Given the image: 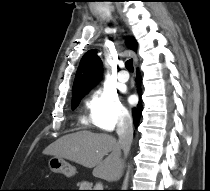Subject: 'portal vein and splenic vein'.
Returning a JSON list of instances; mask_svg holds the SVG:
<instances>
[{
    "label": "portal vein and splenic vein",
    "mask_w": 210,
    "mask_h": 191,
    "mask_svg": "<svg viewBox=\"0 0 210 191\" xmlns=\"http://www.w3.org/2000/svg\"><path fill=\"white\" fill-rule=\"evenodd\" d=\"M96 188V190H102V188H103V186H102V184H97L96 186H95Z\"/></svg>",
    "instance_id": "18ae733b"
}]
</instances>
